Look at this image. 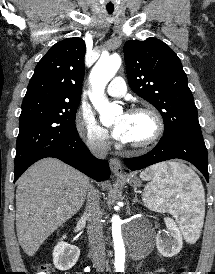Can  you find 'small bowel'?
<instances>
[{
  "instance_id": "1",
  "label": "small bowel",
  "mask_w": 215,
  "mask_h": 274,
  "mask_svg": "<svg viewBox=\"0 0 215 274\" xmlns=\"http://www.w3.org/2000/svg\"><path fill=\"white\" fill-rule=\"evenodd\" d=\"M157 272H165V269L162 268V267H161V268H158V269H157Z\"/></svg>"
}]
</instances>
